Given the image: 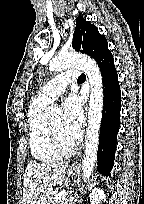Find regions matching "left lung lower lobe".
<instances>
[{"mask_svg":"<svg viewBox=\"0 0 144 204\" xmlns=\"http://www.w3.org/2000/svg\"><path fill=\"white\" fill-rule=\"evenodd\" d=\"M103 77L104 106L98 147V171L109 176L114 165L117 133L120 126L121 93L113 57L99 64Z\"/></svg>","mask_w":144,"mask_h":204,"instance_id":"1","label":"left lung lower lobe"}]
</instances>
